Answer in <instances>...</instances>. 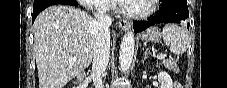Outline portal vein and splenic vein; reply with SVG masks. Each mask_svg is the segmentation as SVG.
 <instances>
[{"label": "portal vein and splenic vein", "instance_id": "18ae733b", "mask_svg": "<svg viewBox=\"0 0 227 88\" xmlns=\"http://www.w3.org/2000/svg\"><path fill=\"white\" fill-rule=\"evenodd\" d=\"M167 55H165V54H163V53H161V54H159V55H157V57L159 58V59H163V58H165ZM76 56L75 57H73V58H71V61H75L76 60Z\"/></svg>", "mask_w": 227, "mask_h": 88}]
</instances>
